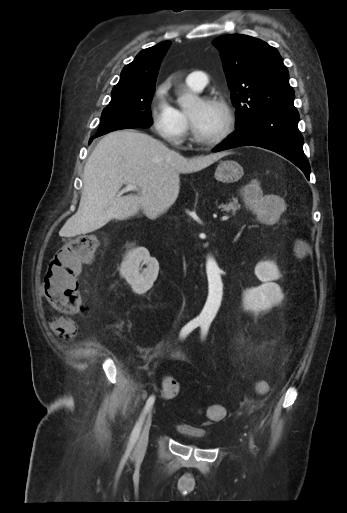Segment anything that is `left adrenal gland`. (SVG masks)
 <instances>
[{
    "mask_svg": "<svg viewBox=\"0 0 347 513\" xmlns=\"http://www.w3.org/2000/svg\"><path fill=\"white\" fill-rule=\"evenodd\" d=\"M238 236H239V234L235 237V240H237V239H238Z\"/></svg>",
    "mask_w": 347,
    "mask_h": 513,
    "instance_id": "obj_1",
    "label": "left adrenal gland"
}]
</instances>
